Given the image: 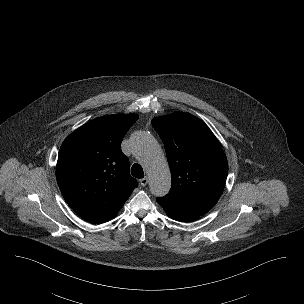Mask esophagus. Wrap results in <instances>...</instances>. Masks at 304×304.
Returning <instances> with one entry per match:
<instances>
[{
	"instance_id": "1",
	"label": "esophagus",
	"mask_w": 304,
	"mask_h": 304,
	"mask_svg": "<svg viewBox=\"0 0 304 304\" xmlns=\"http://www.w3.org/2000/svg\"><path fill=\"white\" fill-rule=\"evenodd\" d=\"M147 183H148V177L147 176H145L144 178L140 179V184L142 186H146Z\"/></svg>"
}]
</instances>
